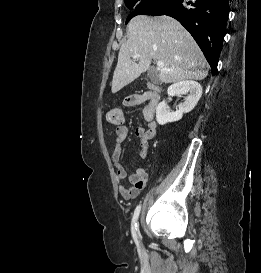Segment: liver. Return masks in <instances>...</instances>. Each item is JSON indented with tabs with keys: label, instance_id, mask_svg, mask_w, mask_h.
<instances>
[{
	"label": "liver",
	"instance_id": "liver-1",
	"mask_svg": "<svg viewBox=\"0 0 261 273\" xmlns=\"http://www.w3.org/2000/svg\"><path fill=\"white\" fill-rule=\"evenodd\" d=\"M128 40L121 46L113 74L112 93L146 72L152 59L162 61L167 72L159 70L162 83L202 80L208 75L207 61L190 33L169 16L138 15L128 24ZM140 54L137 62L133 56Z\"/></svg>",
	"mask_w": 261,
	"mask_h": 273
}]
</instances>
